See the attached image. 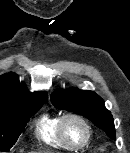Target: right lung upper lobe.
Returning a JSON list of instances; mask_svg holds the SVG:
<instances>
[{
	"label": "right lung upper lobe",
	"mask_w": 130,
	"mask_h": 153,
	"mask_svg": "<svg viewBox=\"0 0 130 153\" xmlns=\"http://www.w3.org/2000/svg\"><path fill=\"white\" fill-rule=\"evenodd\" d=\"M45 92L30 93L15 73L0 77V110H19L28 105L46 102Z\"/></svg>",
	"instance_id": "right-lung-upper-lobe-1"
}]
</instances>
